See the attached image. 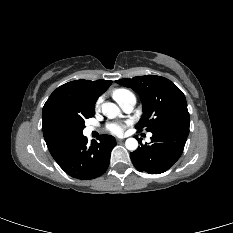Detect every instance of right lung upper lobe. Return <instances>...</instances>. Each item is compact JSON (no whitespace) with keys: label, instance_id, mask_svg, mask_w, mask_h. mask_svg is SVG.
Returning a JSON list of instances; mask_svg holds the SVG:
<instances>
[{"label":"right lung upper lobe","instance_id":"1","mask_svg":"<svg viewBox=\"0 0 233 233\" xmlns=\"http://www.w3.org/2000/svg\"><path fill=\"white\" fill-rule=\"evenodd\" d=\"M112 81L75 80L58 87L43 107V135L50 153L76 140L65 137L61 126L65 121L95 111L97 98L108 89Z\"/></svg>","mask_w":233,"mask_h":233}]
</instances>
